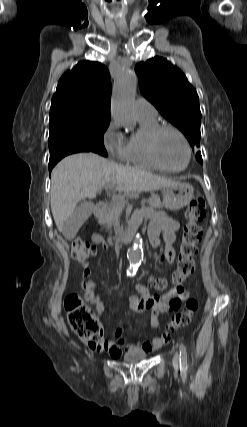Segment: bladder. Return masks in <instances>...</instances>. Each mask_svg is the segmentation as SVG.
<instances>
[{"instance_id": "31cf9c89", "label": "bladder", "mask_w": 247, "mask_h": 427, "mask_svg": "<svg viewBox=\"0 0 247 427\" xmlns=\"http://www.w3.org/2000/svg\"><path fill=\"white\" fill-rule=\"evenodd\" d=\"M147 357V353L142 350H131L124 354L123 360L129 363H136L144 360Z\"/></svg>"}]
</instances>
